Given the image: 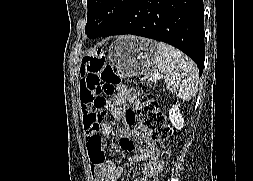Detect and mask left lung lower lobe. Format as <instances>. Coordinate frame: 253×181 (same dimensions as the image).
<instances>
[{
	"label": "left lung lower lobe",
	"mask_w": 253,
	"mask_h": 181,
	"mask_svg": "<svg viewBox=\"0 0 253 181\" xmlns=\"http://www.w3.org/2000/svg\"><path fill=\"white\" fill-rule=\"evenodd\" d=\"M133 34L168 43L204 66L203 0H131L102 36Z\"/></svg>",
	"instance_id": "left-lung-lower-lobe-1"
}]
</instances>
